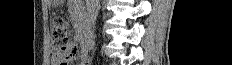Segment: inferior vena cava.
Segmentation results:
<instances>
[{"label":"inferior vena cava","instance_id":"602c4592","mask_svg":"<svg viewBox=\"0 0 232 65\" xmlns=\"http://www.w3.org/2000/svg\"><path fill=\"white\" fill-rule=\"evenodd\" d=\"M89 23L94 24L99 12V0H86Z\"/></svg>","mask_w":232,"mask_h":65}]
</instances>
